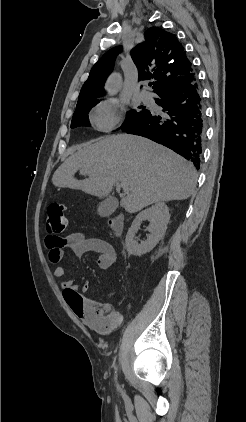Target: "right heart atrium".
<instances>
[{"label":"right heart atrium","instance_id":"1","mask_svg":"<svg viewBox=\"0 0 246 422\" xmlns=\"http://www.w3.org/2000/svg\"><path fill=\"white\" fill-rule=\"evenodd\" d=\"M123 117V108L114 100H102L95 105L91 121L95 128L110 132L119 126Z\"/></svg>","mask_w":246,"mask_h":422}]
</instances>
